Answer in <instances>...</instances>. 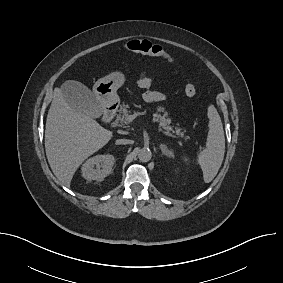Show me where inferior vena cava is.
<instances>
[{"label":"inferior vena cava","instance_id":"inferior-vena-cava-1","mask_svg":"<svg viewBox=\"0 0 283 283\" xmlns=\"http://www.w3.org/2000/svg\"><path fill=\"white\" fill-rule=\"evenodd\" d=\"M117 143L126 145V144H131L132 141L131 140H127V139H119V140H117Z\"/></svg>","mask_w":283,"mask_h":283}]
</instances>
